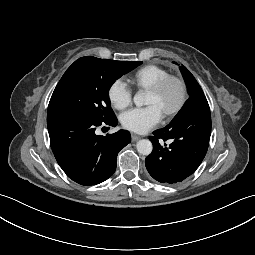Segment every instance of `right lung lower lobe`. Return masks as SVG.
<instances>
[{
  "label": "right lung lower lobe",
  "mask_w": 255,
  "mask_h": 255,
  "mask_svg": "<svg viewBox=\"0 0 255 255\" xmlns=\"http://www.w3.org/2000/svg\"><path fill=\"white\" fill-rule=\"evenodd\" d=\"M116 116L102 121L73 112L47 114V127L54 156L66 175L78 184H99L113 175L119 151L131 142L130 133L119 130L99 136L100 125L116 126Z\"/></svg>",
  "instance_id": "98d812e1"
}]
</instances>
